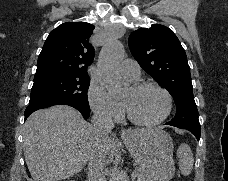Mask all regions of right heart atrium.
<instances>
[{
	"mask_svg": "<svg viewBox=\"0 0 228 181\" xmlns=\"http://www.w3.org/2000/svg\"><path fill=\"white\" fill-rule=\"evenodd\" d=\"M92 110L105 118L120 119L122 116L121 104L112 97L103 84L92 82L88 91Z\"/></svg>",
	"mask_w": 228,
	"mask_h": 181,
	"instance_id": "right-heart-atrium-1",
	"label": "right heart atrium"
}]
</instances>
